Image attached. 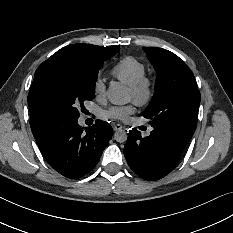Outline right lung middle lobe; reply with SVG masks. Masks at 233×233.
<instances>
[{"label":"right lung middle lobe","instance_id":"obj_1","mask_svg":"<svg viewBox=\"0 0 233 233\" xmlns=\"http://www.w3.org/2000/svg\"><path fill=\"white\" fill-rule=\"evenodd\" d=\"M101 65L87 66L68 58L43 62L35 72L28 94L31 125L79 118V107L95 96Z\"/></svg>","mask_w":233,"mask_h":233}]
</instances>
